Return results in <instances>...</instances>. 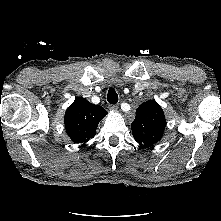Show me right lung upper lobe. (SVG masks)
<instances>
[{
	"label": "right lung upper lobe",
	"instance_id": "1",
	"mask_svg": "<svg viewBox=\"0 0 221 221\" xmlns=\"http://www.w3.org/2000/svg\"><path fill=\"white\" fill-rule=\"evenodd\" d=\"M107 111L88 102L85 98L78 97L68 107L65 113V129L74 143H85L93 138L97 126Z\"/></svg>",
	"mask_w": 221,
	"mask_h": 221
}]
</instances>
